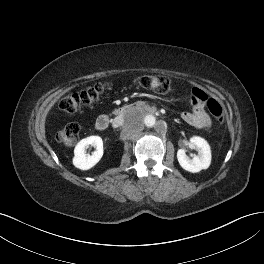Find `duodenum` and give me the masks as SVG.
Listing matches in <instances>:
<instances>
[{
	"instance_id": "obj_1",
	"label": "duodenum",
	"mask_w": 264,
	"mask_h": 264,
	"mask_svg": "<svg viewBox=\"0 0 264 264\" xmlns=\"http://www.w3.org/2000/svg\"><path fill=\"white\" fill-rule=\"evenodd\" d=\"M134 105H125L115 110L114 115L117 117L122 116L126 111L130 110ZM144 111L149 114H155L156 109L153 107H144ZM112 121V116L109 114L101 115L95 122V128L99 131H103L108 128Z\"/></svg>"
}]
</instances>
